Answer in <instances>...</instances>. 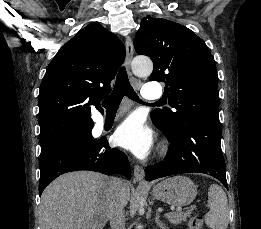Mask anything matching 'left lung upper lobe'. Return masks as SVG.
Here are the masks:
<instances>
[{
    "label": "left lung upper lobe",
    "instance_id": "left-lung-upper-lobe-1",
    "mask_svg": "<svg viewBox=\"0 0 261 229\" xmlns=\"http://www.w3.org/2000/svg\"><path fill=\"white\" fill-rule=\"evenodd\" d=\"M138 54L149 56L154 69L150 80L165 82L168 108L151 112L164 135L177 136L190 120L219 123L218 75L205 42L178 23L146 17L134 40Z\"/></svg>",
    "mask_w": 261,
    "mask_h": 229
}]
</instances>
